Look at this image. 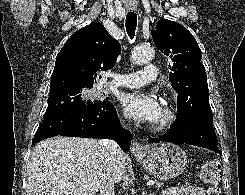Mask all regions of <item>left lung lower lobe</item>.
<instances>
[{
	"mask_svg": "<svg viewBox=\"0 0 245 195\" xmlns=\"http://www.w3.org/2000/svg\"><path fill=\"white\" fill-rule=\"evenodd\" d=\"M148 142L186 143L207 148L221 154L213 128V119L200 115L180 117L171 125L170 130L165 135L160 138L149 139Z\"/></svg>",
	"mask_w": 245,
	"mask_h": 195,
	"instance_id": "0a47b994",
	"label": "left lung lower lobe"
}]
</instances>
